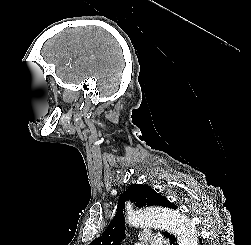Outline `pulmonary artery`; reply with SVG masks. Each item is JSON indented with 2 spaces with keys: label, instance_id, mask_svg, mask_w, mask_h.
<instances>
[{
  "label": "pulmonary artery",
  "instance_id": "e3ab8cb5",
  "mask_svg": "<svg viewBox=\"0 0 251 245\" xmlns=\"http://www.w3.org/2000/svg\"><path fill=\"white\" fill-rule=\"evenodd\" d=\"M148 242L146 244L148 245H167V242L163 237L160 236H148L147 237Z\"/></svg>",
  "mask_w": 251,
  "mask_h": 245
}]
</instances>
